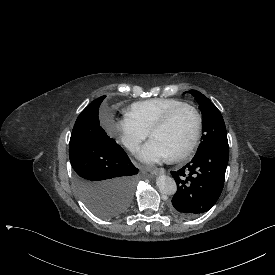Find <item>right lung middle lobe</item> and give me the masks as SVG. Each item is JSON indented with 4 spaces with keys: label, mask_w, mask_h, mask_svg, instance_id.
I'll return each mask as SVG.
<instances>
[{
    "label": "right lung middle lobe",
    "mask_w": 275,
    "mask_h": 275,
    "mask_svg": "<svg viewBox=\"0 0 275 275\" xmlns=\"http://www.w3.org/2000/svg\"><path fill=\"white\" fill-rule=\"evenodd\" d=\"M105 97L92 101L78 116L69 158L75 188L85 204L100 217L115 218L130 207L140 174L99 124L98 110Z\"/></svg>",
    "instance_id": "1"
}]
</instances>
